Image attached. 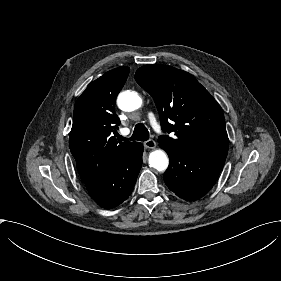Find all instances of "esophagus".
<instances>
[{
    "instance_id": "34e87169",
    "label": "esophagus",
    "mask_w": 281,
    "mask_h": 281,
    "mask_svg": "<svg viewBox=\"0 0 281 281\" xmlns=\"http://www.w3.org/2000/svg\"><path fill=\"white\" fill-rule=\"evenodd\" d=\"M144 146L146 148L153 149V148L156 147V142L154 140L150 139V140H147V141L144 142Z\"/></svg>"
}]
</instances>
